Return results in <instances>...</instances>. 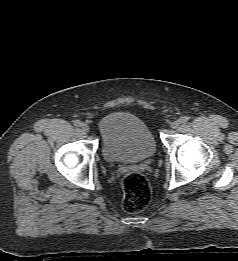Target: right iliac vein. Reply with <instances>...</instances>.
I'll return each instance as SVG.
<instances>
[{
  "mask_svg": "<svg viewBox=\"0 0 238 261\" xmlns=\"http://www.w3.org/2000/svg\"><path fill=\"white\" fill-rule=\"evenodd\" d=\"M81 129H82V131L85 132V133H87V132L90 130L89 126H88L87 124H85V123H83V124L81 125Z\"/></svg>",
  "mask_w": 238,
  "mask_h": 261,
  "instance_id": "1",
  "label": "right iliac vein"
}]
</instances>
